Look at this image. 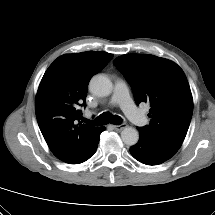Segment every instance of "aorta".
Here are the masks:
<instances>
[{
  "mask_svg": "<svg viewBox=\"0 0 215 215\" xmlns=\"http://www.w3.org/2000/svg\"><path fill=\"white\" fill-rule=\"evenodd\" d=\"M89 90L96 96L105 97L112 93L113 84L107 76L98 74L90 80ZM121 138L126 145L132 146L138 142L139 133L135 128L126 127L121 132Z\"/></svg>",
  "mask_w": 215,
  "mask_h": 215,
  "instance_id": "1",
  "label": "aorta"
}]
</instances>
